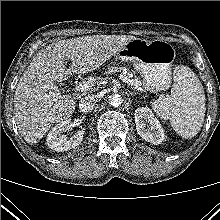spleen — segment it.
<instances>
[{
    "label": "spleen",
    "mask_w": 220,
    "mask_h": 220,
    "mask_svg": "<svg viewBox=\"0 0 220 220\" xmlns=\"http://www.w3.org/2000/svg\"><path fill=\"white\" fill-rule=\"evenodd\" d=\"M205 94L194 72L179 65L174 70L171 94L153 103L158 116L169 119L173 129L183 138L194 137L201 129L205 117Z\"/></svg>",
    "instance_id": "obj_1"
}]
</instances>
